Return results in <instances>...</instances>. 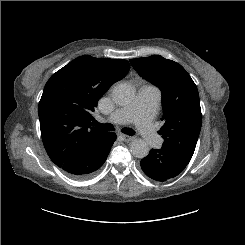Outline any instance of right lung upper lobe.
Wrapping results in <instances>:
<instances>
[{
  "label": "right lung upper lobe",
  "mask_w": 245,
  "mask_h": 245,
  "mask_svg": "<svg viewBox=\"0 0 245 245\" xmlns=\"http://www.w3.org/2000/svg\"><path fill=\"white\" fill-rule=\"evenodd\" d=\"M129 69L127 60L83 55L50 77L38 110L43 144L54 164L68 162L104 132L92 126L91 113Z\"/></svg>",
  "instance_id": "cb5924a9"
}]
</instances>
